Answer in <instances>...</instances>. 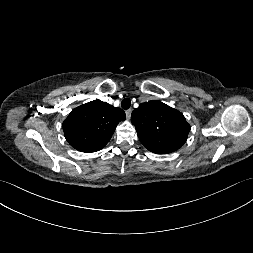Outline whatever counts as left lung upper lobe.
<instances>
[{
	"mask_svg": "<svg viewBox=\"0 0 253 253\" xmlns=\"http://www.w3.org/2000/svg\"><path fill=\"white\" fill-rule=\"evenodd\" d=\"M131 122L141 143L156 154L179 149L190 131V125L181 112L158 100L140 104L132 112Z\"/></svg>",
	"mask_w": 253,
	"mask_h": 253,
	"instance_id": "5c2ea615",
	"label": "left lung upper lobe"
}]
</instances>
